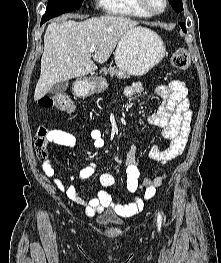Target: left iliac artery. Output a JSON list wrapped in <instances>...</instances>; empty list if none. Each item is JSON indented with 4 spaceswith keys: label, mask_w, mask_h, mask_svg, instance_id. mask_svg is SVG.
<instances>
[{
    "label": "left iliac artery",
    "mask_w": 221,
    "mask_h": 263,
    "mask_svg": "<svg viewBox=\"0 0 221 263\" xmlns=\"http://www.w3.org/2000/svg\"><path fill=\"white\" fill-rule=\"evenodd\" d=\"M157 221H158V223L162 222V215L160 212H158Z\"/></svg>",
    "instance_id": "44dca946"
}]
</instances>
